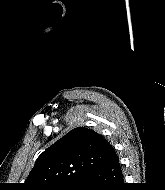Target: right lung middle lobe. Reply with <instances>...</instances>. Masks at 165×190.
I'll return each instance as SVG.
<instances>
[{"instance_id": "right-lung-middle-lobe-1", "label": "right lung middle lobe", "mask_w": 165, "mask_h": 190, "mask_svg": "<svg viewBox=\"0 0 165 190\" xmlns=\"http://www.w3.org/2000/svg\"><path fill=\"white\" fill-rule=\"evenodd\" d=\"M81 180L76 182V183H72V184H66V185H61V186H55L52 188H49L48 190H80L81 188Z\"/></svg>"}]
</instances>
